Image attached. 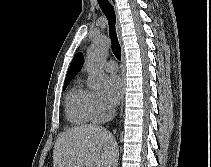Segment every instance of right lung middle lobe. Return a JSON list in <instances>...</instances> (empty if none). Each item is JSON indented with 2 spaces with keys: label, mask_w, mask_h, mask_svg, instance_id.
I'll use <instances>...</instances> for the list:
<instances>
[{
  "label": "right lung middle lobe",
  "mask_w": 211,
  "mask_h": 167,
  "mask_svg": "<svg viewBox=\"0 0 211 167\" xmlns=\"http://www.w3.org/2000/svg\"><path fill=\"white\" fill-rule=\"evenodd\" d=\"M69 82H70V81L64 82V89H66V87L68 86Z\"/></svg>",
  "instance_id": "obj_1"
}]
</instances>
